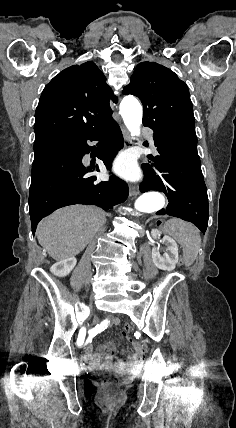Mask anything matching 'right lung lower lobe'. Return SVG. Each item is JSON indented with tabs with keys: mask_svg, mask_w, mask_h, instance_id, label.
<instances>
[{
	"mask_svg": "<svg viewBox=\"0 0 236 428\" xmlns=\"http://www.w3.org/2000/svg\"><path fill=\"white\" fill-rule=\"evenodd\" d=\"M87 141H98L97 149ZM48 151L34 156L29 191V213L32 232L39 221L58 208L72 205H96L104 210L124 202L128 185L115 176L109 181L98 182L93 171L98 165L85 167L82 158L91 152L110 170L111 161L124 146L121 130L111 118L96 128L52 140Z\"/></svg>",
	"mask_w": 236,
	"mask_h": 428,
	"instance_id": "obj_1",
	"label": "right lung lower lobe"
}]
</instances>
